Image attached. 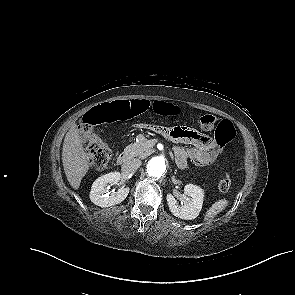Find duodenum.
<instances>
[{"mask_svg":"<svg viewBox=\"0 0 295 295\" xmlns=\"http://www.w3.org/2000/svg\"><path fill=\"white\" fill-rule=\"evenodd\" d=\"M130 160V154L128 151H122L117 157V163L124 165Z\"/></svg>","mask_w":295,"mask_h":295,"instance_id":"duodenum-1","label":"duodenum"}]
</instances>
